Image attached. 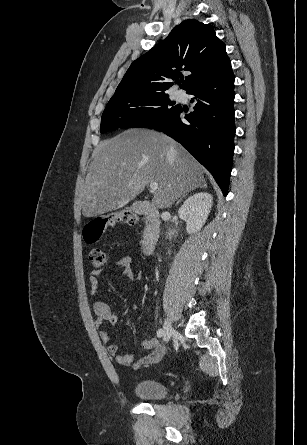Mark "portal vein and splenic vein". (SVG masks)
Returning <instances> with one entry per match:
<instances>
[{
    "label": "portal vein and splenic vein",
    "mask_w": 307,
    "mask_h": 445,
    "mask_svg": "<svg viewBox=\"0 0 307 445\" xmlns=\"http://www.w3.org/2000/svg\"><path fill=\"white\" fill-rule=\"evenodd\" d=\"M150 188L151 190H157L158 188L157 182H150Z\"/></svg>",
    "instance_id": "1"
}]
</instances>
